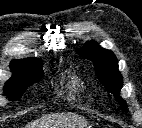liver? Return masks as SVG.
<instances>
[{
	"instance_id": "1",
	"label": "liver",
	"mask_w": 142,
	"mask_h": 128,
	"mask_svg": "<svg viewBox=\"0 0 142 128\" xmlns=\"http://www.w3.org/2000/svg\"><path fill=\"white\" fill-rule=\"evenodd\" d=\"M85 123L84 117L75 113H56L42 117L26 128H77Z\"/></svg>"
}]
</instances>
